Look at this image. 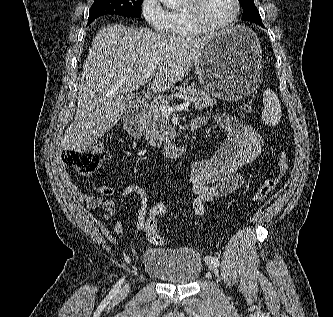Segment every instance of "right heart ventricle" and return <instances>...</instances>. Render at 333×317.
Returning a JSON list of instances; mask_svg holds the SVG:
<instances>
[{"instance_id": "right-heart-ventricle-1", "label": "right heart ventricle", "mask_w": 333, "mask_h": 317, "mask_svg": "<svg viewBox=\"0 0 333 317\" xmlns=\"http://www.w3.org/2000/svg\"><path fill=\"white\" fill-rule=\"evenodd\" d=\"M169 16L170 28L168 32L171 36L179 39H187L196 37L199 34V32L188 23L181 8L171 10Z\"/></svg>"}]
</instances>
